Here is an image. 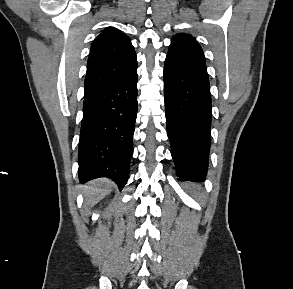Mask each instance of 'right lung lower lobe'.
<instances>
[{"label":"right lung lower lobe","instance_id":"98d812e1","mask_svg":"<svg viewBox=\"0 0 293 289\" xmlns=\"http://www.w3.org/2000/svg\"><path fill=\"white\" fill-rule=\"evenodd\" d=\"M136 116L137 75L84 97L78 154L81 183L108 177L122 190L133 154Z\"/></svg>","mask_w":293,"mask_h":289}]
</instances>
